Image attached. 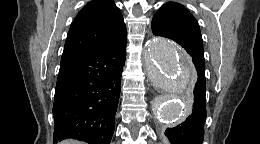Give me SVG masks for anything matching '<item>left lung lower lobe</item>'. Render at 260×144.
<instances>
[{
    "instance_id": "1",
    "label": "left lung lower lobe",
    "mask_w": 260,
    "mask_h": 144,
    "mask_svg": "<svg viewBox=\"0 0 260 144\" xmlns=\"http://www.w3.org/2000/svg\"><path fill=\"white\" fill-rule=\"evenodd\" d=\"M194 63L204 57V53L191 47L184 48ZM205 74L198 72L193 91L189 93V102L193 103L191 114L181 124L167 128L165 135L171 144H202L206 120Z\"/></svg>"
}]
</instances>
